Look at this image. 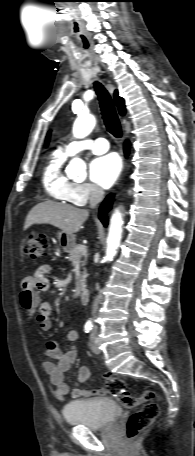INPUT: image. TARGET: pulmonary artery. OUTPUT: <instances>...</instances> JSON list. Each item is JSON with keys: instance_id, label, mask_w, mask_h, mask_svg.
Masks as SVG:
<instances>
[{"instance_id": "obj_1", "label": "pulmonary artery", "mask_w": 195, "mask_h": 456, "mask_svg": "<svg viewBox=\"0 0 195 456\" xmlns=\"http://www.w3.org/2000/svg\"><path fill=\"white\" fill-rule=\"evenodd\" d=\"M109 143L104 138L95 140L87 139L81 141H72L65 145L63 151L68 155H75L83 150H90L95 154H102L108 151Z\"/></svg>"}]
</instances>
